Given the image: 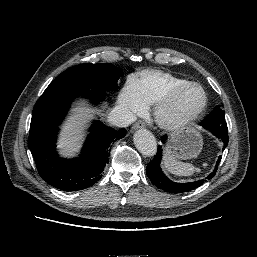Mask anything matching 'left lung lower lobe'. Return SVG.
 <instances>
[{
  "label": "left lung lower lobe",
  "instance_id": "left-lung-lower-lobe-1",
  "mask_svg": "<svg viewBox=\"0 0 257 257\" xmlns=\"http://www.w3.org/2000/svg\"><path fill=\"white\" fill-rule=\"evenodd\" d=\"M202 126V125H201ZM205 129L209 130L220 142H222L223 149L228 145V129L226 127H206L203 126ZM167 139V135L162 136L161 141L165 143ZM162 158V146H158V150L152 161L148 163L147 168H146V173L151 182L158 187L159 189H162L164 191L170 192V193H184V192H189L193 189L198 188L201 186L206 180H198L194 182H188V183H175L168 179L164 173L161 171L160 168V161ZM221 161V156H219L218 161L216 163L215 169L213 170L212 173H210L206 179L210 180L211 178L214 177L216 174L218 165Z\"/></svg>",
  "mask_w": 257,
  "mask_h": 257
}]
</instances>
